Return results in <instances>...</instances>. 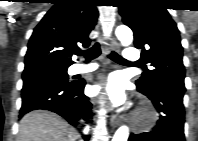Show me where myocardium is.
Returning <instances> with one entry per match:
<instances>
[{
    "mask_svg": "<svg viewBox=\"0 0 198 141\" xmlns=\"http://www.w3.org/2000/svg\"><path fill=\"white\" fill-rule=\"evenodd\" d=\"M155 120V114L148 105L142 106L136 113L133 124L136 127H148Z\"/></svg>",
    "mask_w": 198,
    "mask_h": 141,
    "instance_id": "myocardium-1",
    "label": "myocardium"
}]
</instances>
